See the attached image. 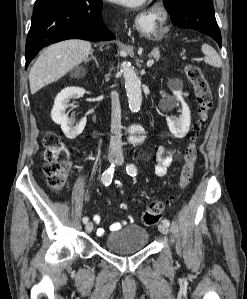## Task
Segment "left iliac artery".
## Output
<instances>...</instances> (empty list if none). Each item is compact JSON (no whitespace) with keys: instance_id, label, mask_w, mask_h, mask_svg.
Wrapping results in <instances>:
<instances>
[{"instance_id":"obj_1","label":"left iliac artery","mask_w":247,"mask_h":299,"mask_svg":"<svg viewBox=\"0 0 247 299\" xmlns=\"http://www.w3.org/2000/svg\"><path fill=\"white\" fill-rule=\"evenodd\" d=\"M126 171H127V173H128L130 176H136V174H137V168H136V166H135L133 163H130V164L127 165V167H126ZM162 223L165 224L166 226H169V225H170V222H169V220H167V219H164V220L162 221Z\"/></svg>"}]
</instances>
